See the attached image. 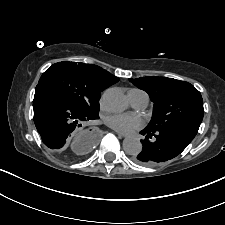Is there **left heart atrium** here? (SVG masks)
<instances>
[{
  "instance_id": "39dd6f15",
  "label": "left heart atrium",
  "mask_w": 225,
  "mask_h": 225,
  "mask_svg": "<svg viewBox=\"0 0 225 225\" xmlns=\"http://www.w3.org/2000/svg\"><path fill=\"white\" fill-rule=\"evenodd\" d=\"M106 123L108 126L121 133L133 132L143 125L140 117L125 113L107 116Z\"/></svg>"
}]
</instances>
